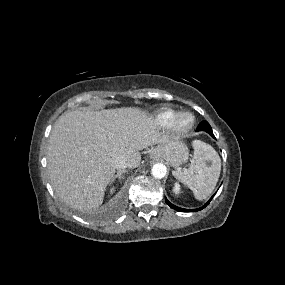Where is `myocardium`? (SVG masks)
I'll return each instance as SVG.
<instances>
[{
	"label": "myocardium",
	"instance_id": "f54148a6",
	"mask_svg": "<svg viewBox=\"0 0 285 285\" xmlns=\"http://www.w3.org/2000/svg\"><path fill=\"white\" fill-rule=\"evenodd\" d=\"M195 125V118L191 113L176 114L172 123L173 129L178 133H186Z\"/></svg>",
	"mask_w": 285,
	"mask_h": 285
}]
</instances>
